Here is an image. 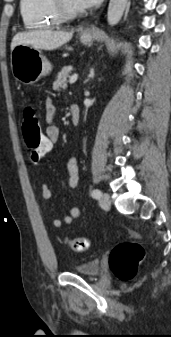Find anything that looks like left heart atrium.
Segmentation results:
<instances>
[{
    "instance_id": "left-heart-atrium-1",
    "label": "left heart atrium",
    "mask_w": 171,
    "mask_h": 337,
    "mask_svg": "<svg viewBox=\"0 0 171 337\" xmlns=\"http://www.w3.org/2000/svg\"><path fill=\"white\" fill-rule=\"evenodd\" d=\"M101 0H72L77 9L90 8L97 5Z\"/></svg>"
}]
</instances>
